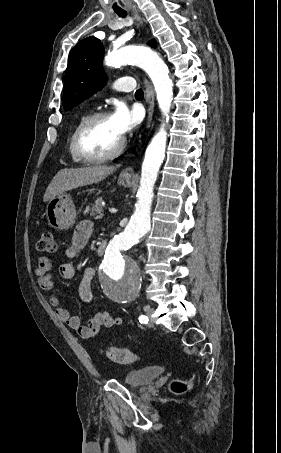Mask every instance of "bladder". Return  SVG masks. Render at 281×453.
<instances>
[{"label":"bladder","mask_w":281,"mask_h":453,"mask_svg":"<svg viewBox=\"0 0 281 453\" xmlns=\"http://www.w3.org/2000/svg\"><path fill=\"white\" fill-rule=\"evenodd\" d=\"M163 369L160 367H145L128 372L124 378V382L131 387H140L151 383L159 375Z\"/></svg>","instance_id":"bladder-1"}]
</instances>
